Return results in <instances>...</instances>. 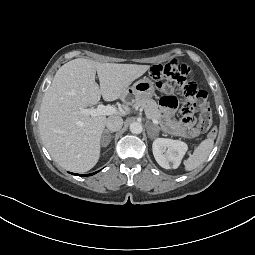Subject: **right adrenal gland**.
<instances>
[{
  "label": "right adrenal gland",
  "mask_w": 255,
  "mask_h": 255,
  "mask_svg": "<svg viewBox=\"0 0 255 255\" xmlns=\"http://www.w3.org/2000/svg\"><path fill=\"white\" fill-rule=\"evenodd\" d=\"M110 133H112V132L109 131V130H105V131H104V135L102 136V146H103V147H106V146L110 143L111 138H112V136L110 135ZM105 137L108 138L106 142H104Z\"/></svg>",
  "instance_id": "obj_1"
}]
</instances>
